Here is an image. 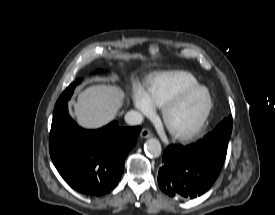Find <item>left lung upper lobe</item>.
Here are the masks:
<instances>
[{"mask_svg": "<svg viewBox=\"0 0 275 215\" xmlns=\"http://www.w3.org/2000/svg\"><path fill=\"white\" fill-rule=\"evenodd\" d=\"M232 131V117L224 119L213 132L204 137L203 141L195 144V149L224 163L227 146Z\"/></svg>", "mask_w": 275, "mask_h": 215, "instance_id": "1", "label": "left lung upper lobe"}]
</instances>
